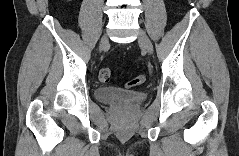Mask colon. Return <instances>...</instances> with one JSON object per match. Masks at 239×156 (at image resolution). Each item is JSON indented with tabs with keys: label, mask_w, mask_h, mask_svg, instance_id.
Instances as JSON below:
<instances>
[{
	"label": "colon",
	"mask_w": 239,
	"mask_h": 156,
	"mask_svg": "<svg viewBox=\"0 0 239 156\" xmlns=\"http://www.w3.org/2000/svg\"><path fill=\"white\" fill-rule=\"evenodd\" d=\"M112 76H113V71H112L111 68L105 67V68L101 69L100 80L102 82L109 81L112 78ZM144 81H145V76L141 75V76H138L134 79L129 80L126 83V87L127 88L135 87V86L141 85Z\"/></svg>",
	"instance_id": "obj_1"
}]
</instances>
